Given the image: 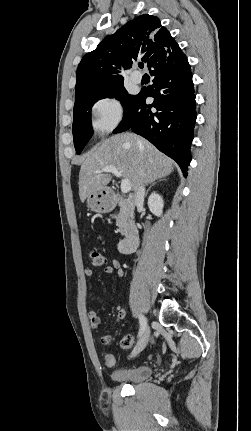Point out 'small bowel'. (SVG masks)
Wrapping results in <instances>:
<instances>
[{"label": "small bowel", "mask_w": 251, "mask_h": 431, "mask_svg": "<svg viewBox=\"0 0 251 431\" xmlns=\"http://www.w3.org/2000/svg\"><path fill=\"white\" fill-rule=\"evenodd\" d=\"M104 273L106 274H115L116 277L121 278L124 276V269L121 266L120 262L116 259H113L111 261L110 265H106L103 268ZM84 274L86 277H91L93 276V270L91 268H86L84 270ZM90 325L92 328H98L101 324V319L99 317V315L97 314L96 311L94 310H89L87 313ZM126 316V311L124 308L120 307L118 308L116 317H115V323L120 322L121 320H123ZM99 341L101 344L103 345H108L112 342V336L110 334H104L102 336H100Z\"/></svg>", "instance_id": "small-bowel-1"}]
</instances>
